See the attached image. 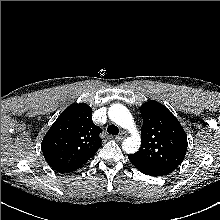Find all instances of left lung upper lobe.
Masks as SVG:
<instances>
[{
    "mask_svg": "<svg viewBox=\"0 0 220 220\" xmlns=\"http://www.w3.org/2000/svg\"><path fill=\"white\" fill-rule=\"evenodd\" d=\"M140 111L144 120L141 147L131 156L167 175L184 160L187 135L177 118L161 103L147 102Z\"/></svg>",
    "mask_w": 220,
    "mask_h": 220,
    "instance_id": "1",
    "label": "left lung upper lobe"
}]
</instances>
